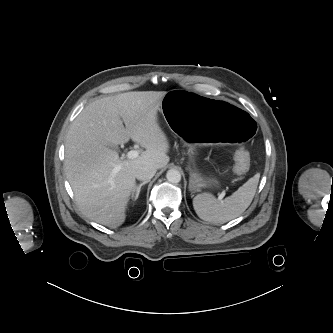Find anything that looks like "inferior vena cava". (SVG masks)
<instances>
[{"mask_svg":"<svg viewBox=\"0 0 333 333\" xmlns=\"http://www.w3.org/2000/svg\"><path fill=\"white\" fill-rule=\"evenodd\" d=\"M157 168L150 165H142L137 168L135 177L141 181H149L156 173Z\"/></svg>","mask_w":333,"mask_h":333,"instance_id":"inferior-vena-cava-1","label":"inferior vena cava"}]
</instances>
